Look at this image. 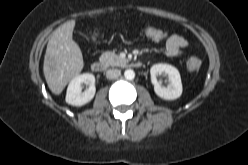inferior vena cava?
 Instances as JSON below:
<instances>
[{
	"label": "inferior vena cava",
	"mask_w": 248,
	"mask_h": 165,
	"mask_svg": "<svg viewBox=\"0 0 248 165\" xmlns=\"http://www.w3.org/2000/svg\"><path fill=\"white\" fill-rule=\"evenodd\" d=\"M121 75V71L119 69H109L106 72L107 79H116Z\"/></svg>",
	"instance_id": "1"
}]
</instances>
